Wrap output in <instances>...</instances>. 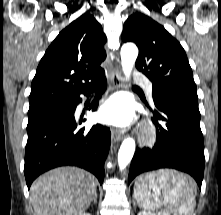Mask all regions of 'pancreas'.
Instances as JSON below:
<instances>
[{
	"label": "pancreas",
	"instance_id": "1",
	"mask_svg": "<svg viewBox=\"0 0 221 215\" xmlns=\"http://www.w3.org/2000/svg\"><path fill=\"white\" fill-rule=\"evenodd\" d=\"M163 214L169 215L168 213H163Z\"/></svg>",
	"mask_w": 221,
	"mask_h": 215
}]
</instances>
